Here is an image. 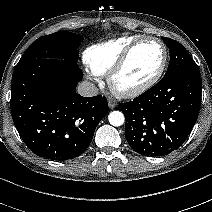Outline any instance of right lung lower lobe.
<instances>
[{
    "instance_id": "98d812e1",
    "label": "right lung lower lobe",
    "mask_w": 212,
    "mask_h": 212,
    "mask_svg": "<svg viewBox=\"0 0 212 212\" xmlns=\"http://www.w3.org/2000/svg\"><path fill=\"white\" fill-rule=\"evenodd\" d=\"M83 73L77 63L42 58L14 68L11 114L27 147L51 160L81 155L98 123L108 113L105 97H82L76 85Z\"/></svg>"
}]
</instances>
